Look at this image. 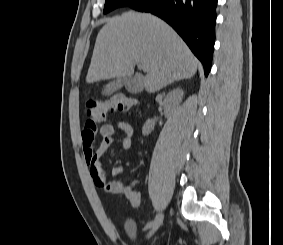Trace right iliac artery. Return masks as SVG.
Returning <instances> with one entry per match:
<instances>
[{
	"label": "right iliac artery",
	"mask_w": 283,
	"mask_h": 245,
	"mask_svg": "<svg viewBox=\"0 0 283 245\" xmlns=\"http://www.w3.org/2000/svg\"><path fill=\"white\" fill-rule=\"evenodd\" d=\"M153 222H154V221L148 222V223L146 224L145 228H146V229L150 228V227L152 226Z\"/></svg>",
	"instance_id": "obj_1"
}]
</instances>
